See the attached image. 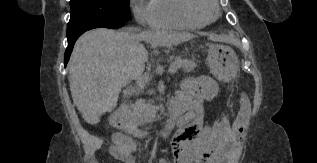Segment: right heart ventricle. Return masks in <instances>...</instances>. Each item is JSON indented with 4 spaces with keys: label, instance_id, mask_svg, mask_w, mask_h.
Returning <instances> with one entry per match:
<instances>
[{
    "label": "right heart ventricle",
    "instance_id": "1",
    "mask_svg": "<svg viewBox=\"0 0 317 163\" xmlns=\"http://www.w3.org/2000/svg\"><path fill=\"white\" fill-rule=\"evenodd\" d=\"M182 0H152L151 27L155 29L196 30L206 23L190 18L182 8Z\"/></svg>",
    "mask_w": 317,
    "mask_h": 163
}]
</instances>
